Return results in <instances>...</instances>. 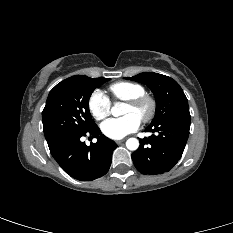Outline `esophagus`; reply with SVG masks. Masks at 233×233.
<instances>
[{
	"mask_svg": "<svg viewBox=\"0 0 233 233\" xmlns=\"http://www.w3.org/2000/svg\"><path fill=\"white\" fill-rule=\"evenodd\" d=\"M123 142H124V140H117V141H116V143H117L118 145L122 144Z\"/></svg>",
	"mask_w": 233,
	"mask_h": 233,
	"instance_id": "obj_1",
	"label": "esophagus"
}]
</instances>
